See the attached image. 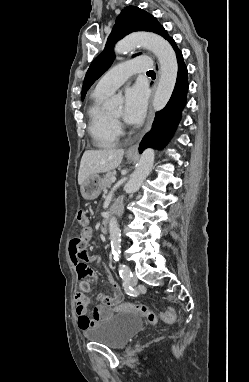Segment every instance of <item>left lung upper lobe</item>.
Here are the masks:
<instances>
[{
  "label": "left lung upper lobe",
  "mask_w": 249,
  "mask_h": 382,
  "mask_svg": "<svg viewBox=\"0 0 249 382\" xmlns=\"http://www.w3.org/2000/svg\"><path fill=\"white\" fill-rule=\"evenodd\" d=\"M136 31H151L161 35L166 40L171 38L153 15L135 6L124 8L116 19L103 52L94 59L86 73L82 89V100L91 85L109 69L114 61L113 47L115 43Z\"/></svg>",
  "instance_id": "1"
}]
</instances>
